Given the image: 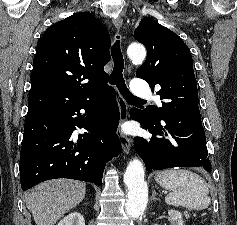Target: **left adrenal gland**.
<instances>
[{
	"label": "left adrenal gland",
	"mask_w": 237,
	"mask_h": 225,
	"mask_svg": "<svg viewBox=\"0 0 237 225\" xmlns=\"http://www.w3.org/2000/svg\"><path fill=\"white\" fill-rule=\"evenodd\" d=\"M151 200H158V201H160V199L156 197V192L155 191H153V193H152Z\"/></svg>",
	"instance_id": "obj_1"
}]
</instances>
